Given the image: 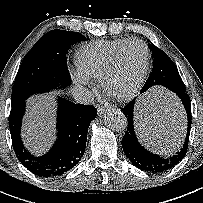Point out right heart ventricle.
Here are the masks:
<instances>
[{"mask_svg":"<svg viewBox=\"0 0 203 203\" xmlns=\"http://www.w3.org/2000/svg\"><path fill=\"white\" fill-rule=\"evenodd\" d=\"M127 40L100 41L81 46L75 56L78 69L89 78L101 80L115 54Z\"/></svg>","mask_w":203,"mask_h":203,"instance_id":"e07e8e85","label":"right heart ventricle"}]
</instances>
